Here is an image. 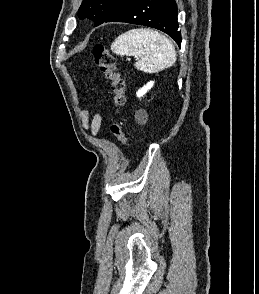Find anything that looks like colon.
I'll list each match as a JSON object with an SVG mask.
<instances>
[{
	"label": "colon",
	"instance_id": "colon-1",
	"mask_svg": "<svg viewBox=\"0 0 259 294\" xmlns=\"http://www.w3.org/2000/svg\"><path fill=\"white\" fill-rule=\"evenodd\" d=\"M93 57L96 66L111 84L114 108L120 110L125 104V82L116 69L111 52L103 43L98 42L93 46ZM111 131L121 145L125 147L129 145V134L122 120L114 122Z\"/></svg>",
	"mask_w": 259,
	"mask_h": 294
}]
</instances>
